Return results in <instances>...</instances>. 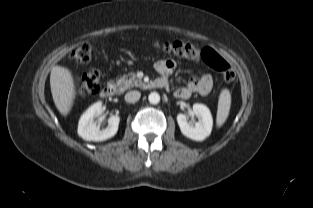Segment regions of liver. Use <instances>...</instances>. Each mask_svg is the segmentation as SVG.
Instances as JSON below:
<instances>
[{
	"label": "liver",
	"mask_w": 313,
	"mask_h": 208,
	"mask_svg": "<svg viewBox=\"0 0 313 208\" xmlns=\"http://www.w3.org/2000/svg\"><path fill=\"white\" fill-rule=\"evenodd\" d=\"M50 87L56 108L60 114L67 116L77 95L71 71L62 66H54L50 74Z\"/></svg>",
	"instance_id": "1"
}]
</instances>
